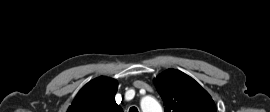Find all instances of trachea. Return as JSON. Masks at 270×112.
Instances as JSON below:
<instances>
[{
  "label": "trachea",
  "mask_w": 270,
  "mask_h": 112,
  "mask_svg": "<svg viewBox=\"0 0 270 112\" xmlns=\"http://www.w3.org/2000/svg\"><path fill=\"white\" fill-rule=\"evenodd\" d=\"M129 112H138V109L136 107H131L129 109Z\"/></svg>",
  "instance_id": "obj_1"
}]
</instances>
